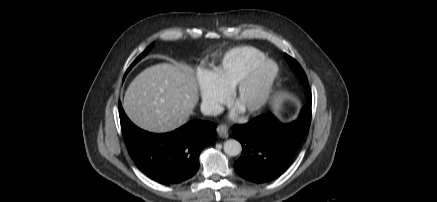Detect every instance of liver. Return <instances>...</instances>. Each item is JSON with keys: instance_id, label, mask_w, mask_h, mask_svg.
Returning a JSON list of instances; mask_svg holds the SVG:
<instances>
[{"instance_id": "obj_1", "label": "liver", "mask_w": 437, "mask_h": 202, "mask_svg": "<svg viewBox=\"0 0 437 202\" xmlns=\"http://www.w3.org/2000/svg\"><path fill=\"white\" fill-rule=\"evenodd\" d=\"M198 101L194 70L161 63L138 74L126 90L123 108L141 129L164 133L185 124Z\"/></svg>"}]
</instances>
